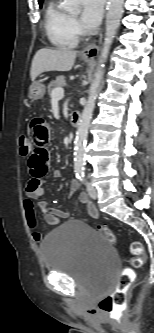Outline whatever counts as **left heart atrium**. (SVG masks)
<instances>
[{
  "instance_id": "left-heart-atrium-1",
  "label": "left heart atrium",
  "mask_w": 154,
  "mask_h": 333,
  "mask_svg": "<svg viewBox=\"0 0 154 333\" xmlns=\"http://www.w3.org/2000/svg\"><path fill=\"white\" fill-rule=\"evenodd\" d=\"M82 5L83 23L90 28L96 27L102 19L105 0H82Z\"/></svg>"
}]
</instances>
